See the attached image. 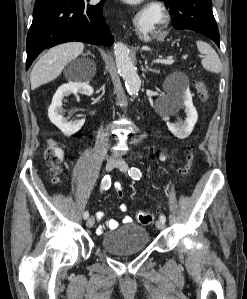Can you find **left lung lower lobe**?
Instances as JSON below:
<instances>
[{
  "instance_id": "1",
  "label": "left lung lower lobe",
  "mask_w": 247,
  "mask_h": 299,
  "mask_svg": "<svg viewBox=\"0 0 247 299\" xmlns=\"http://www.w3.org/2000/svg\"><path fill=\"white\" fill-rule=\"evenodd\" d=\"M169 9L174 28L190 29L206 35L220 47L219 32L211 0H161Z\"/></svg>"
}]
</instances>
